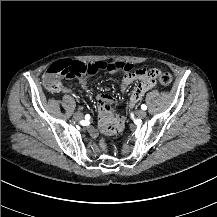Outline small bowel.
Instances as JSON below:
<instances>
[{
	"instance_id": "1",
	"label": "small bowel",
	"mask_w": 217,
	"mask_h": 217,
	"mask_svg": "<svg viewBox=\"0 0 217 217\" xmlns=\"http://www.w3.org/2000/svg\"><path fill=\"white\" fill-rule=\"evenodd\" d=\"M131 70H126L121 79V93H125L130 85L137 79L133 76ZM77 82L84 91L91 92L89 87V76L79 77ZM148 89L149 88L142 82L136 86L129 96L128 107L133 108L141 100ZM64 92L70 93L71 90L64 88ZM93 99L97 107L96 115L98 117V129L105 136L120 135L123 131V118L119 113L113 112V108L110 105L114 102L113 97L106 93H93ZM89 133L91 136L96 137L98 135V130L92 127L89 128Z\"/></svg>"
}]
</instances>
